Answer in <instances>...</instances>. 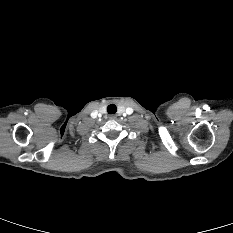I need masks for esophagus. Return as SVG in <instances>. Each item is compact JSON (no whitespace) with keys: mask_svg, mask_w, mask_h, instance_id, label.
Listing matches in <instances>:
<instances>
[{"mask_svg":"<svg viewBox=\"0 0 233 233\" xmlns=\"http://www.w3.org/2000/svg\"><path fill=\"white\" fill-rule=\"evenodd\" d=\"M109 118L110 119H116V115H110Z\"/></svg>","mask_w":233,"mask_h":233,"instance_id":"obj_1","label":"esophagus"}]
</instances>
